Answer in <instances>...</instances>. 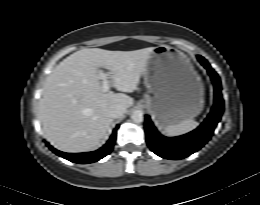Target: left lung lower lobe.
I'll return each mask as SVG.
<instances>
[{"label":"left lung lower lobe","instance_id":"0a47b994","mask_svg":"<svg viewBox=\"0 0 260 205\" xmlns=\"http://www.w3.org/2000/svg\"><path fill=\"white\" fill-rule=\"evenodd\" d=\"M200 63L207 69L215 90L214 106L205 121L194 131L178 137H164L154 127L149 116H146V140L149 148L158 156L179 160L198 151L211 138L224 110L221 95V83L217 73L201 56H197Z\"/></svg>","mask_w":260,"mask_h":205}]
</instances>
